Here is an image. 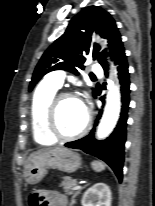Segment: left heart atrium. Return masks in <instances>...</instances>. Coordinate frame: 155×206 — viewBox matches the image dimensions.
I'll use <instances>...</instances> for the list:
<instances>
[{"instance_id":"39dd6f15","label":"left heart atrium","mask_w":155,"mask_h":206,"mask_svg":"<svg viewBox=\"0 0 155 206\" xmlns=\"http://www.w3.org/2000/svg\"><path fill=\"white\" fill-rule=\"evenodd\" d=\"M82 105L85 107L84 103L81 101Z\"/></svg>"}]
</instances>
